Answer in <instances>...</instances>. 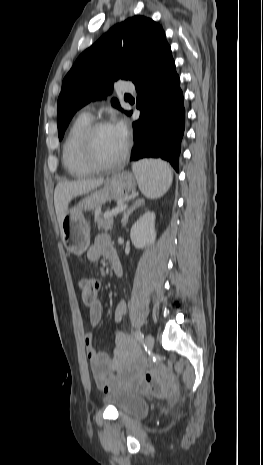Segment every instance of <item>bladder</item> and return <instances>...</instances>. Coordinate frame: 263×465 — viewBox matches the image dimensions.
<instances>
[{
	"instance_id": "bladder-1",
	"label": "bladder",
	"mask_w": 263,
	"mask_h": 465,
	"mask_svg": "<svg viewBox=\"0 0 263 465\" xmlns=\"http://www.w3.org/2000/svg\"><path fill=\"white\" fill-rule=\"evenodd\" d=\"M104 402L114 406L120 414L126 416L141 418L149 411L146 399L132 392H111L104 397Z\"/></svg>"
}]
</instances>
